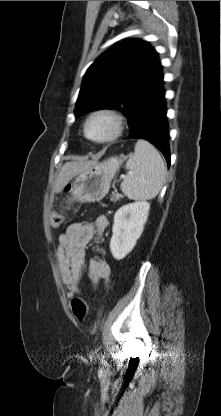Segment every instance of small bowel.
Masks as SVG:
<instances>
[{"instance_id": "1", "label": "small bowel", "mask_w": 221, "mask_h": 416, "mask_svg": "<svg viewBox=\"0 0 221 416\" xmlns=\"http://www.w3.org/2000/svg\"><path fill=\"white\" fill-rule=\"evenodd\" d=\"M107 226V217L98 215L90 222H74L59 234L56 259L62 282L67 288L68 297L79 293L86 249L92 240H101ZM88 276L94 285L100 281L108 282L110 266L106 259L103 257L91 258L88 262Z\"/></svg>"}]
</instances>
